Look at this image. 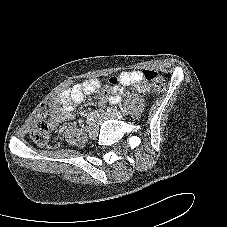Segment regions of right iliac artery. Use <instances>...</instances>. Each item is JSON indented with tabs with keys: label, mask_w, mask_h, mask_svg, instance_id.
<instances>
[{
	"label": "right iliac artery",
	"mask_w": 227,
	"mask_h": 227,
	"mask_svg": "<svg viewBox=\"0 0 227 227\" xmlns=\"http://www.w3.org/2000/svg\"><path fill=\"white\" fill-rule=\"evenodd\" d=\"M100 116L99 112L98 111H93L91 112L87 118H86V123L87 124H90L92 123L93 121L97 120V118Z\"/></svg>",
	"instance_id": "82829eb1"
}]
</instances>
